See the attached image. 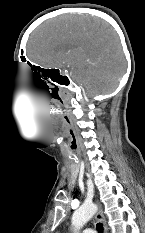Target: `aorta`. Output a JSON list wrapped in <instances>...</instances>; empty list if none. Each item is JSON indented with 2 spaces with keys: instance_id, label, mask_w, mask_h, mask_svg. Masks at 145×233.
Instances as JSON below:
<instances>
[{
  "instance_id": "aorta-1",
  "label": "aorta",
  "mask_w": 145,
  "mask_h": 233,
  "mask_svg": "<svg viewBox=\"0 0 145 233\" xmlns=\"http://www.w3.org/2000/svg\"><path fill=\"white\" fill-rule=\"evenodd\" d=\"M97 206L94 204H83L72 216L74 233H79L82 227L94 216Z\"/></svg>"
}]
</instances>
